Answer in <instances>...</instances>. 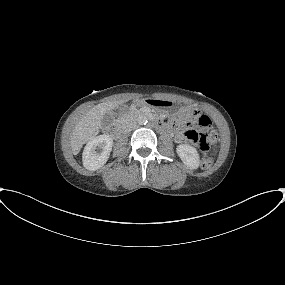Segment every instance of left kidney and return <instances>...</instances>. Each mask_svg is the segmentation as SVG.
Segmentation results:
<instances>
[{
    "mask_svg": "<svg viewBox=\"0 0 285 285\" xmlns=\"http://www.w3.org/2000/svg\"><path fill=\"white\" fill-rule=\"evenodd\" d=\"M176 152L187 167L191 169H197L199 167V153L193 146L181 144L177 146Z\"/></svg>",
    "mask_w": 285,
    "mask_h": 285,
    "instance_id": "obj_1",
    "label": "left kidney"
}]
</instances>
